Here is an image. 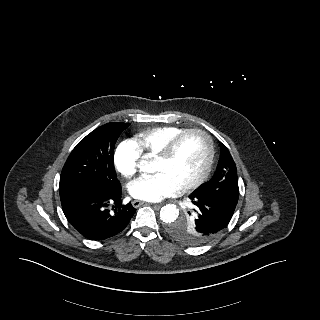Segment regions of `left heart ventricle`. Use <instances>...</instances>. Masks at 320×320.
<instances>
[{"mask_svg":"<svg viewBox=\"0 0 320 320\" xmlns=\"http://www.w3.org/2000/svg\"><path fill=\"white\" fill-rule=\"evenodd\" d=\"M206 158L205 139L199 134H192L182 140L172 159L156 160L154 172L166 174L180 187L200 175Z\"/></svg>","mask_w":320,"mask_h":320,"instance_id":"obj_1","label":"left heart ventricle"}]
</instances>
